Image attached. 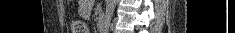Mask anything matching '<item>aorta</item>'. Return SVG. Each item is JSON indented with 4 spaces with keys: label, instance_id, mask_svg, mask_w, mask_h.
<instances>
[{
    "label": "aorta",
    "instance_id": "762f6f07",
    "mask_svg": "<svg viewBox=\"0 0 235 33\" xmlns=\"http://www.w3.org/2000/svg\"><path fill=\"white\" fill-rule=\"evenodd\" d=\"M115 5H116V0H106L105 21L108 24L110 23L111 18L113 16Z\"/></svg>",
    "mask_w": 235,
    "mask_h": 33
}]
</instances>
